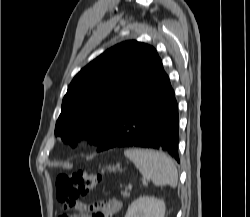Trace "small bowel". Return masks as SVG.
<instances>
[{"label":"small bowel","instance_id":"small-bowel-1","mask_svg":"<svg viewBox=\"0 0 250 217\" xmlns=\"http://www.w3.org/2000/svg\"><path fill=\"white\" fill-rule=\"evenodd\" d=\"M100 204L102 205L103 217H112L113 215L119 213L122 209V202L117 198L100 202ZM69 209L75 212L74 217H89L80 205Z\"/></svg>","mask_w":250,"mask_h":217}]
</instances>
